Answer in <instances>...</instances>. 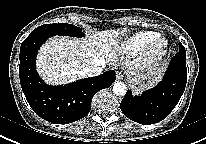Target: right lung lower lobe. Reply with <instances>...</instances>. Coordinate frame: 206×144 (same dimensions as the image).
Returning a JSON list of instances; mask_svg holds the SVG:
<instances>
[{"mask_svg":"<svg viewBox=\"0 0 206 144\" xmlns=\"http://www.w3.org/2000/svg\"><path fill=\"white\" fill-rule=\"evenodd\" d=\"M51 36L30 34L20 47L19 76L22 90L33 111L42 119L55 124H69L84 118L91 109L93 96L115 81V72L81 79L64 86H50L39 77L36 54Z\"/></svg>","mask_w":206,"mask_h":144,"instance_id":"98d812e1","label":"right lung lower lobe"}]
</instances>
